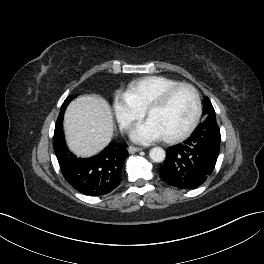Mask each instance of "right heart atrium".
<instances>
[{
  "label": "right heart atrium",
  "instance_id": "1",
  "mask_svg": "<svg viewBox=\"0 0 264 264\" xmlns=\"http://www.w3.org/2000/svg\"><path fill=\"white\" fill-rule=\"evenodd\" d=\"M113 110L117 123L123 130H127L133 122L144 115V111L130 101L126 94L115 96Z\"/></svg>",
  "mask_w": 264,
  "mask_h": 264
}]
</instances>
